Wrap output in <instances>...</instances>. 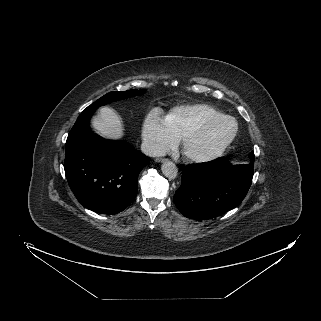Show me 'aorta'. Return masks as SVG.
<instances>
[{
	"label": "aorta",
	"mask_w": 321,
	"mask_h": 321,
	"mask_svg": "<svg viewBox=\"0 0 321 321\" xmlns=\"http://www.w3.org/2000/svg\"><path fill=\"white\" fill-rule=\"evenodd\" d=\"M161 170L169 179H174L178 174L177 166L171 161H165L161 166Z\"/></svg>",
	"instance_id": "aorta-1"
}]
</instances>
